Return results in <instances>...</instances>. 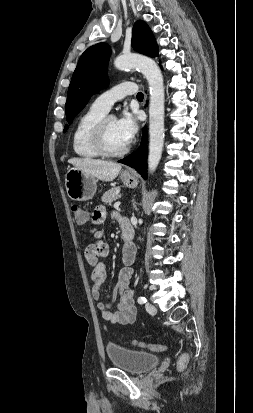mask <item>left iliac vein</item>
<instances>
[{
    "label": "left iliac vein",
    "instance_id": "obj_1",
    "mask_svg": "<svg viewBox=\"0 0 253 413\" xmlns=\"http://www.w3.org/2000/svg\"><path fill=\"white\" fill-rule=\"evenodd\" d=\"M145 308H146L147 312L152 314V315L156 314V312H157L156 307L150 302L146 303Z\"/></svg>",
    "mask_w": 253,
    "mask_h": 413
}]
</instances>
